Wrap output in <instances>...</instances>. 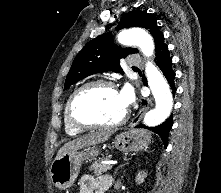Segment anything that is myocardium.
<instances>
[{"label": "myocardium", "mask_w": 221, "mask_h": 193, "mask_svg": "<svg viewBox=\"0 0 221 193\" xmlns=\"http://www.w3.org/2000/svg\"><path fill=\"white\" fill-rule=\"evenodd\" d=\"M108 87L110 89L117 90V87L114 82L110 80H105V79H96L92 80L89 82H86L85 84L81 85L78 89L75 90V92L71 95L68 103H67V111H68V116L71 120V122L82 129H111V128H117L121 125H123L128 117H129V111L126 110L124 115L118 119L117 121L114 122H98V121H93V122H87V121H82L80 120L76 114H75V105L79 97L88 89L93 88V87Z\"/></svg>", "instance_id": "1"}]
</instances>
